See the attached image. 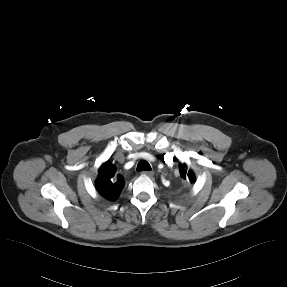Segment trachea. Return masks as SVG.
<instances>
[{"label":"trachea","instance_id":"trachea-1","mask_svg":"<svg viewBox=\"0 0 287 287\" xmlns=\"http://www.w3.org/2000/svg\"><path fill=\"white\" fill-rule=\"evenodd\" d=\"M150 170H151V166L145 160H141L137 165V171H150Z\"/></svg>","mask_w":287,"mask_h":287}]
</instances>
